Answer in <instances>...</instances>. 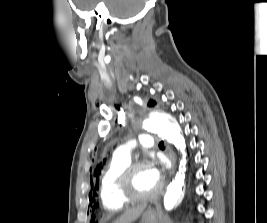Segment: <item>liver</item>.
Listing matches in <instances>:
<instances>
[{
    "mask_svg": "<svg viewBox=\"0 0 267 223\" xmlns=\"http://www.w3.org/2000/svg\"><path fill=\"white\" fill-rule=\"evenodd\" d=\"M146 204L125 211L114 223H131L142 214Z\"/></svg>",
    "mask_w": 267,
    "mask_h": 223,
    "instance_id": "obj_1",
    "label": "liver"
}]
</instances>
